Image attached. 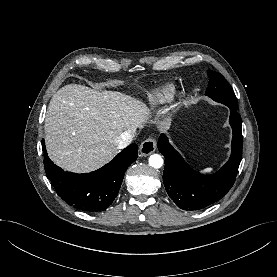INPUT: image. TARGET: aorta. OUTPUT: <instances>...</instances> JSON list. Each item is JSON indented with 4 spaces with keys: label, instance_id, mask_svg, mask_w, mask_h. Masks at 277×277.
Segmentation results:
<instances>
[{
    "label": "aorta",
    "instance_id": "obj_1",
    "mask_svg": "<svg viewBox=\"0 0 277 277\" xmlns=\"http://www.w3.org/2000/svg\"><path fill=\"white\" fill-rule=\"evenodd\" d=\"M149 165L153 168H161L163 165V159L158 154H153L149 157Z\"/></svg>",
    "mask_w": 277,
    "mask_h": 277
}]
</instances>
